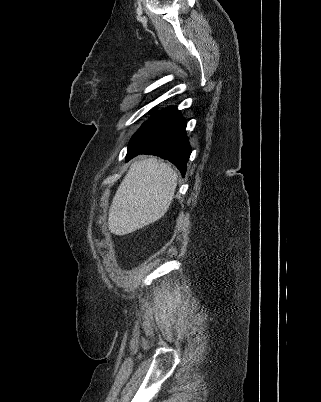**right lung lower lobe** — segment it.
Masks as SVG:
<instances>
[{"instance_id": "obj_1", "label": "right lung lower lobe", "mask_w": 321, "mask_h": 402, "mask_svg": "<svg viewBox=\"0 0 321 402\" xmlns=\"http://www.w3.org/2000/svg\"><path fill=\"white\" fill-rule=\"evenodd\" d=\"M186 121L176 107L156 112L132 136L126 160L151 154L172 162L184 176L191 147L186 136Z\"/></svg>"}]
</instances>
